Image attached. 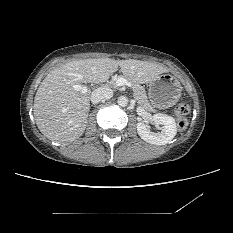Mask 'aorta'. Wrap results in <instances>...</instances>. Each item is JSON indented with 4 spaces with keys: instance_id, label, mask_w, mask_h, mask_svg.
<instances>
[{
    "instance_id": "aorta-1",
    "label": "aorta",
    "mask_w": 233,
    "mask_h": 233,
    "mask_svg": "<svg viewBox=\"0 0 233 233\" xmlns=\"http://www.w3.org/2000/svg\"><path fill=\"white\" fill-rule=\"evenodd\" d=\"M117 103L121 107H125L128 105V98L126 96L118 97Z\"/></svg>"
}]
</instances>
